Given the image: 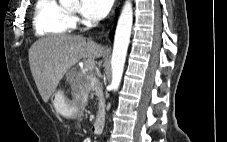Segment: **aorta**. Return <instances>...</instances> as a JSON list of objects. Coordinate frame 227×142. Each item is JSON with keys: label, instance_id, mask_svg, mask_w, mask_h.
Segmentation results:
<instances>
[{"label": "aorta", "instance_id": "1", "mask_svg": "<svg viewBox=\"0 0 227 142\" xmlns=\"http://www.w3.org/2000/svg\"><path fill=\"white\" fill-rule=\"evenodd\" d=\"M60 2L62 4H72L77 2V0H60ZM132 24V3L131 0H126L118 20L111 58L112 81L110 86L114 91L118 90L122 79Z\"/></svg>", "mask_w": 227, "mask_h": 142}]
</instances>
